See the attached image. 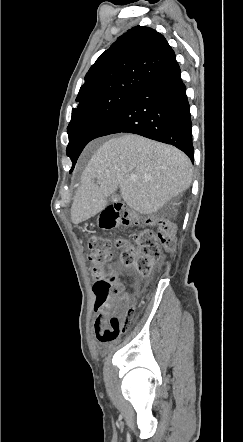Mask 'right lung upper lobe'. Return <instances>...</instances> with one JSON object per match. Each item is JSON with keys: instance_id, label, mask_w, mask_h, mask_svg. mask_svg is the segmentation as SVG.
Instances as JSON below:
<instances>
[{"instance_id": "right-lung-upper-lobe-1", "label": "right lung upper lobe", "mask_w": 243, "mask_h": 442, "mask_svg": "<svg viewBox=\"0 0 243 442\" xmlns=\"http://www.w3.org/2000/svg\"><path fill=\"white\" fill-rule=\"evenodd\" d=\"M175 59L163 35L148 27H133L91 66L76 101L80 105L117 90H135Z\"/></svg>"}]
</instances>
